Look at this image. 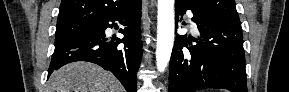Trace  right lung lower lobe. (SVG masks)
Wrapping results in <instances>:
<instances>
[{"label":"right lung lower lobe","mask_w":289,"mask_h":92,"mask_svg":"<svg viewBox=\"0 0 289 92\" xmlns=\"http://www.w3.org/2000/svg\"><path fill=\"white\" fill-rule=\"evenodd\" d=\"M115 21L124 26L120 29L124 38L108 40L105 30L115 26ZM140 21L141 0H137L128 9L96 21L91 31L55 44L48 77L65 64L88 61L110 70L127 92H136V73L142 58ZM120 43L123 48L118 47Z\"/></svg>","instance_id":"98d812e1"}]
</instances>
